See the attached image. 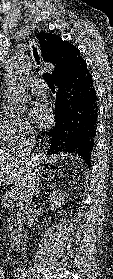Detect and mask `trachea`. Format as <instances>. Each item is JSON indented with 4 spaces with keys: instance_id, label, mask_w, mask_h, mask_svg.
<instances>
[{
    "instance_id": "3493384b",
    "label": "trachea",
    "mask_w": 113,
    "mask_h": 279,
    "mask_svg": "<svg viewBox=\"0 0 113 279\" xmlns=\"http://www.w3.org/2000/svg\"><path fill=\"white\" fill-rule=\"evenodd\" d=\"M32 48H33V55H34L35 61H36L37 65H39L40 64V56L37 52V49L34 46H32ZM43 78L47 82V84L50 88H54V83H53L52 77L49 73H47V72L43 73Z\"/></svg>"
}]
</instances>
